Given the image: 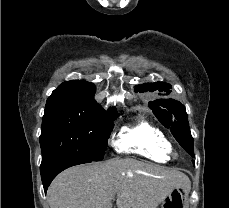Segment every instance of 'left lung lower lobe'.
Here are the masks:
<instances>
[{
    "label": "left lung lower lobe",
    "instance_id": "0a47b994",
    "mask_svg": "<svg viewBox=\"0 0 229 208\" xmlns=\"http://www.w3.org/2000/svg\"><path fill=\"white\" fill-rule=\"evenodd\" d=\"M186 150V152H188L192 157H194V150H193V146L190 147H186L184 148ZM193 164H195V162L193 161Z\"/></svg>",
    "mask_w": 229,
    "mask_h": 208
}]
</instances>
